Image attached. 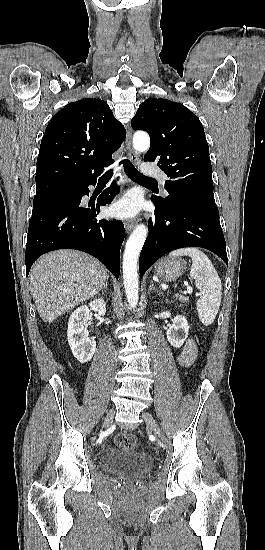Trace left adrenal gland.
<instances>
[{
    "label": "left adrenal gland",
    "mask_w": 265,
    "mask_h": 550,
    "mask_svg": "<svg viewBox=\"0 0 265 550\" xmlns=\"http://www.w3.org/2000/svg\"><path fill=\"white\" fill-rule=\"evenodd\" d=\"M154 290H157V288L154 286L153 281H151V285H150V287H149L148 294H150L151 291H154Z\"/></svg>",
    "instance_id": "1"
}]
</instances>
